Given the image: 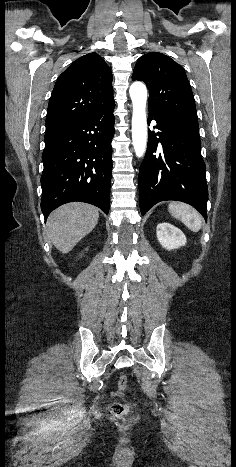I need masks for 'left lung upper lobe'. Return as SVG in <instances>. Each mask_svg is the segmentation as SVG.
<instances>
[{
  "label": "left lung upper lobe",
  "instance_id": "5c2ea615",
  "mask_svg": "<svg viewBox=\"0 0 236 467\" xmlns=\"http://www.w3.org/2000/svg\"><path fill=\"white\" fill-rule=\"evenodd\" d=\"M132 79L141 80L148 86L149 110L197 115L185 71L170 57L157 52L143 55L135 65Z\"/></svg>",
  "mask_w": 236,
  "mask_h": 467
}]
</instances>
